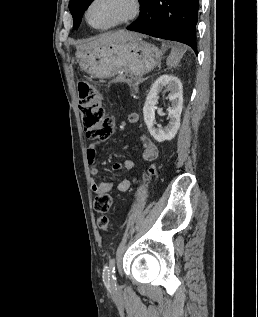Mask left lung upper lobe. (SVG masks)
I'll use <instances>...</instances> for the list:
<instances>
[{
	"label": "left lung upper lobe",
	"mask_w": 258,
	"mask_h": 317,
	"mask_svg": "<svg viewBox=\"0 0 258 317\" xmlns=\"http://www.w3.org/2000/svg\"><path fill=\"white\" fill-rule=\"evenodd\" d=\"M93 0H70L69 10L73 16L74 25L73 28L77 29L80 25L82 15ZM142 4L144 0H139Z\"/></svg>",
	"instance_id": "1"
}]
</instances>
